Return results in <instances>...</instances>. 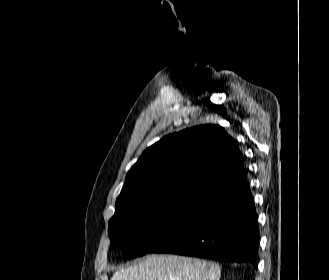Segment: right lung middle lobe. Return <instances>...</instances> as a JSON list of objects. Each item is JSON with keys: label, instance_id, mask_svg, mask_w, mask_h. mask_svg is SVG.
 Wrapping results in <instances>:
<instances>
[{"label": "right lung middle lobe", "instance_id": "right-lung-middle-lobe-1", "mask_svg": "<svg viewBox=\"0 0 329 280\" xmlns=\"http://www.w3.org/2000/svg\"><path fill=\"white\" fill-rule=\"evenodd\" d=\"M201 198L179 195L116 204L108 228L111 244L122 250L125 259L149 253L183 223Z\"/></svg>", "mask_w": 329, "mask_h": 280}]
</instances>
